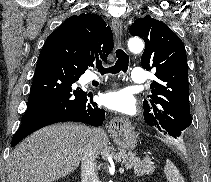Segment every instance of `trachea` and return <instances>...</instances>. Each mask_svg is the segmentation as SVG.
<instances>
[{"label": "trachea", "mask_w": 211, "mask_h": 182, "mask_svg": "<svg viewBox=\"0 0 211 182\" xmlns=\"http://www.w3.org/2000/svg\"><path fill=\"white\" fill-rule=\"evenodd\" d=\"M116 57H117V61L115 65L108 68L103 67L101 60H97L96 67L98 71L102 75L106 73L116 74V73H119L120 71L124 73L127 72L128 65H129V56L122 49H117Z\"/></svg>", "instance_id": "trachea-1"}]
</instances>
